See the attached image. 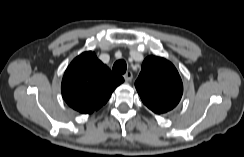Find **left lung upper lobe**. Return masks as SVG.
<instances>
[{"label": "left lung upper lobe", "instance_id": "5c2ea615", "mask_svg": "<svg viewBox=\"0 0 244 157\" xmlns=\"http://www.w3.org/2000/svg\"><path fill=\"white\" fill-rule=\"evenodd\" d=\"M135 87L143 103L157 114L172 110L183 93L182 80L174 65L156 56L143 61Z\"/></svg>", "mask_w": 244, "mask_h": 157}]
</instances>
